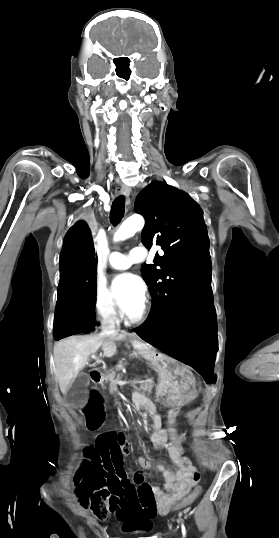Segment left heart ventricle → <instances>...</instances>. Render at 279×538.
Returning <instances> with one entry per match:
<instances>
[{"label": "left heart ventricle", "instance_id": "1", "mask_svg": "<svg viewBox=\"0 0 279 538\" xmlns=\"http://www.w3.org/2000/svg\"><path fill=\"white\" fill-rule=\"evenodd\" d=\"M140 309H141V307H131V308L125 310V313L127 315H134V314L138 313Z\"/></svg>", "mask_w": 279, "mask_h": 538}]
</instances>
